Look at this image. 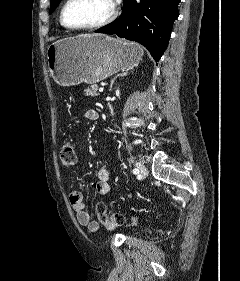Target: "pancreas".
Masks as SVG:
<instances>
[{
    "instance_id": "1",
    "label": "pancreas",
    "mask_w": 240,
    "mask_h": 281,
    "mask_svg": "<svg viewBox=\"0 0 240 281\" xmlns=\"http://www.w3.org/2000/svg\"><path fill=\"white\" fill-rule=\"evenodd\" d=\"M97 90H98L97 85H91L90 87L84 90V93L86 96H97L98 95Z\"/></svg>"
}]
</instances>
